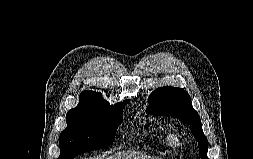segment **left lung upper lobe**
<instances>
[{"label": "left lung upper lobe", "mask_w": 253, "mask_h": 159, "mask_svg": "<svg viewBox=\"0 0 253 159\" xmlns=\"http://www.w3.org/2000/svg\"><path fill=\"white\" fill-rule=\"evenodd\" d=\"M147 111L155 116H171L189 125L198 141L201 159H208V141L201 128L200 116L193 109L191 98L184 89L171 86L156 89L149 96Z\"/></svg>", "instance_id": "left-lung-upper-lobe-1"}]
</instances>
